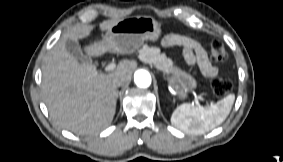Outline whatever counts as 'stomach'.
Returning <instances> with one entry per match:
<instances>
[{"instance_id": "obj_1", "label": "stomach", "mask_w": 283, "mask_h": 162, "mask_svg": "<svg viewBox=\"0 0 283 162\" xmlns=\"http://www.w3.org/2000/svg\"><path fill=\"white\" fill-rule=\"evenodd\" d=\"M161 24L151 16H134L120 19L106 33L103 40L113 39L123 52H134L142 46L144 41L156 42L161 36ZM171 66V76L168 84L175 90L176 96L183 100L193 91L197 82L189 73L178 67Z\"/></svg>"}]
</instances>
